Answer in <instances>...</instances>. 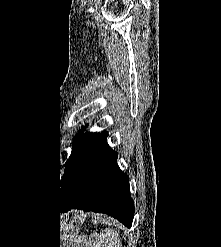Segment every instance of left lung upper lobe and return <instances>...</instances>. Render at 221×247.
<instances>
[{
	"mask_svg": "<svg viewBox=\"0 0 221 247\" xmlns=\"http://www.w3.org/2000/svg\"><path fill=\"white\" fill-rule=\"evenodd\" d=\"M86 127V126H85ZM82 128L79 134L74 138L72 145V153L69 157L68 163L66 164L64 174L61 180V190H64L72 178L75 176L83 158L85 157L88 149L100 135V133H86L82 134V131L85 129Z\"/></svg>",
	"mask_w": 221,
	"mask_h": 247,
	"instance_id": "obj_1",
	"label": "left lung upper lobe"
}]
</instances>
